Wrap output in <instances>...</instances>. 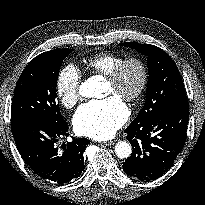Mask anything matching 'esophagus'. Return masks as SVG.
I'll return each mask as SVG.
<instances>
[{"label":"esophagus","instance_id":"esophagus-1","mask_svg":"<svg viewBox=\"0 0 205 205\" xmlns=\"http://www.w3.org/2000/svg\"><path fill=\"white\" fill-rule=\"evenodd\" d=\"M115 143V141L114 140H110V141H105V142H103L102 144H104V145H113Z\"/></svg>","mask_w":205,"mask_h":205}]
</instances>
